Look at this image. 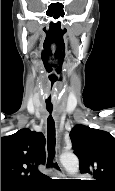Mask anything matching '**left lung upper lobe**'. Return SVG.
I'll return each mask as SVG.
<instances>
[{"label":"left lung upper lobe","instance_id":"1","mask_svg":"<svg viewBox=\"0 0 115 191\" xmlns=\"http://www.w3.org/2000/svg\"><path fill=\"white\" fill-rule=\"evenodd\" d=\"M81 173L91 180L84 184L98 191H115V138L108 132L76 125L70 132Z\"/></svg>","mask_w":115,"mask_h":191}]
</instances>
